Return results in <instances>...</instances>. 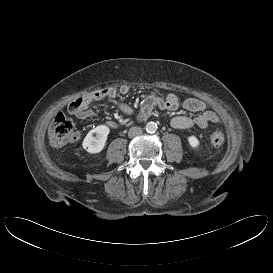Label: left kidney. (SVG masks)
I'll return each mask as SVG.
<instances>
[{"mask_svg":"<svg viewBox=\"0 0 273 273\" xmlns=\"http://www.w3.org/2000/svg\"><path fill=\"white\" fill-rule=\"evenodd\" d=\"M188 143L189 145L194 149H199V140L195 136H189L188 137Z\"/></svg>","mask_w":273,"mask_h":273,"instance_id":"5707ae66","label":"left kidney"}]
</instances>
